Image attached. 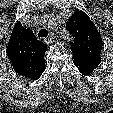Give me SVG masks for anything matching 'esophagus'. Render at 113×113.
Masks as SVG:
<instances>
[{
	"label": "esophagus",
	"instance_id": "1",
	"mask_svg": "<svg viewBox=\"0 0 113 113\" xmlns=\"http://www.w3.org/2000/svg\"><path fill=\"white\" fill-rule=\"evenodd\" d=\"M55 41V37L53 35H50L46 40L45 42L50 44V43H53Z\"/></svg>",
	"mask_w": 113,
	"mask_h": 113
}]
</instances>
